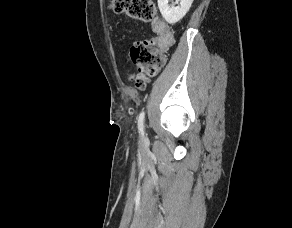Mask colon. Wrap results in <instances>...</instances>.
<instances>
[{"label": "colon", "mask_w": 292, "mask_h": 228, "mask_svg": "<svg viewBox=\"0 0 292 228\" xmlns=\"http://www.w3.org/2000/svg\"><path fill=\"white\" fill-rule=\"evenodd\" d=\"M110 9L115 14H124L134 20L151 22L155 19V6L151 0H111ZM155 38L137 41L130 50L133 63L139 74L134 77L138 89H143L147 77H153L165 63V53L172 42V35L161 21H154Z\"/></svg>", "instance_id": "obj_1"}]
</instances>
